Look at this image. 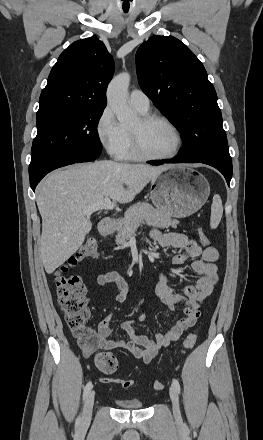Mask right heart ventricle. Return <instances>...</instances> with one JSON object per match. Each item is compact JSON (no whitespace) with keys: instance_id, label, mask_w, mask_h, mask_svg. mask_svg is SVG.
<instances>
[{"instance_id":"1","label":"right heart ventricle","mask_w":263,"mask_h":440,"mask_svg":"<svg viewBox=\"0 0 263 440\" xmlns=\"http://www.w3.org/2000/svg\"><path fill=\"white\" fill-rule=\"evenodd\" d=\"M140 113L145 114L146 112H140ZM126 133H127V138H126L125 144L123 145L120 152L118 153V156L121 159H125V160L137 159L138 157L134 154V152L132 150L131 138H130L129 131L126 130Z\"/></svg>"}]
</instances>
